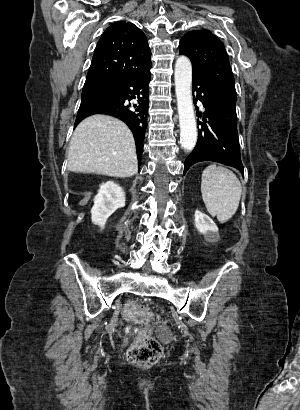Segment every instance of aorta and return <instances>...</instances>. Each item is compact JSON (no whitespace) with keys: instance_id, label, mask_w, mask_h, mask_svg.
<instances>
[{"instance_id":"762f6f07","label":"aorta","mask_w":300,"mask_h":410,"mask_svg":"<svg viewBox=\"0 0 300 410\" xmlns=\"http://www.w3.org/2000/svg\"><path fill=\"white\" fill-rule=\"evenodd\" d=\"M175 91L180 124V143L192 151L197 141V127L192 101V65L188 57L180 56L175 63Z\"/></svg>"}]
</instances>
